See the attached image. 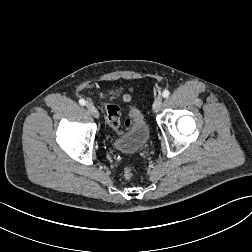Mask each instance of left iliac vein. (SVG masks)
I'll use <instances>...</instances> for the list:
<instances>
[{
	"label": "left iliac vein",
	"instance_id": "1",
	"mask_svg": "<svg viewBox=\"0 0 252 252\" xmlns=\"http://www.w3.org/2000/svg\"><path fill=\"white\" fill-rule=\"evenodd\" d=\"M163 99L161 96L157 97L153 103V111L158 112L162 107Z\"/></svg>",
	"mask_w": 252,
	"mask_h": 252
}]
</instances>
